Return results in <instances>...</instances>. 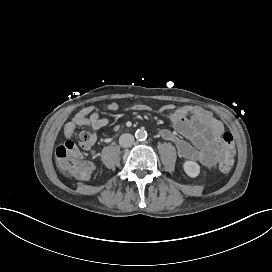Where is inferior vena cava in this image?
<instances>
[{
  "mask_svg": "<svg viewBox=\"0 0 272 272\" xmlns=\"http://www.w3.org/2000/svg\"><path fill=\"white\" fill-rule=\"evenodd\" d=\"M134 143V137L130 133H124L119 138V144L122 147H130Z\"/></svg>",
  "mask_w": 272,
  "mask_h": 272,
  "instance_id": "602c4592",
  "label": "inferior vena cava"
}]
</instances>
